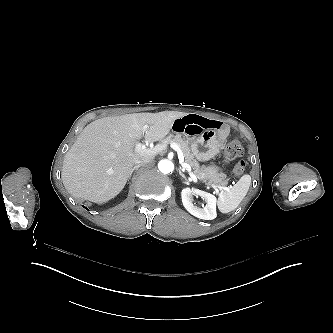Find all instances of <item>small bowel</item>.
<instances>
[{"instance_id": "1", "label": "small bowel", "mask_w": 333, "mask_h": 333, "mask_svg": "<svg viewBox=\"0 0 333 333\" xmlns=\"http://www.w3.org/2000/svg\"><path fill=\"white\" fill-rule=\"evenodd\" d=\"M172 127L178 133L186 131L191 135L199 134L208 128L213 134H221L224 131V124L221 121H214L196 114H187L174 120Z\"/></svg>"}]
</instances>
